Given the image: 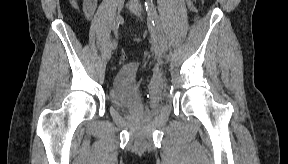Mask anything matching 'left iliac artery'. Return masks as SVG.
<instances>
[{"instance_id":"obj_1","label":"left iliac artery","mask_w":288,"mask_h":164,"mask_svg":"<svg viewBox=\"0 0 288 164\" xmlns=\"http://www.w3.org/2000/svg\"><path fill=\"white\" fill-rule=\"evenodd\" d=\"M145 7H146V11H148L149 17L152 18L153 25L158 28L159 27V16L157 14V11H156L153 3L147 1V2H145Z\"/></svg>"}]
</instances>
